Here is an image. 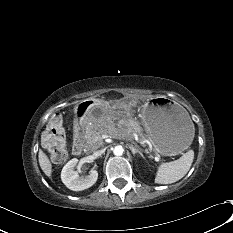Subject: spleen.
Returning a JSON list of instances; mask_svg holds the SVG:
<instances>
[{
	"mask_svg": "<svg viewBox=\"0 0 233 233\" xmlns=\"http://www.w3.org/2000/svg\"><path fill=\"white\" fill-rule=\"evenodd\" d=\"M194 159V151L188 150L181 158L159 166L155 183L171 184L183 178L189 171Z\"/></svg>",
	"mask_w": 233,
	"mask_h": 233,
	"instance_id": "obj_1",
	"label": "spleen"
}]
</instances>
